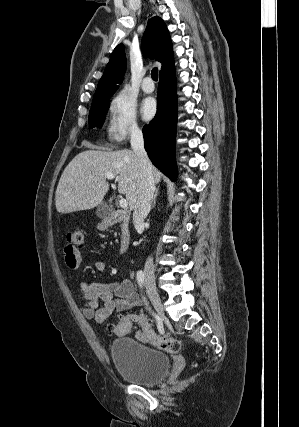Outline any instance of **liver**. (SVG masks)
<instances>
[{
	"mask_svg": "<svg viewBox=\"0 0 299 427\" xmlns=\"http://www.w3.org/2000/svg\"><path fill=\"white\" fill-rule=\"evenodd\" d=\"M106 173L118 179V191L126 196L130 210L134 209L140 186L138 159L132 150H87L79 153L67 165L59 180L55 205L60 213L88 210L98 206L109 190ZM154 183L161 172L152 166Z\"/></svg>",
	"mask_w": 299,
	"mask_h": 427,
	"instance_id": "liver-1",
	"label": "liver"
}]
</instances>
